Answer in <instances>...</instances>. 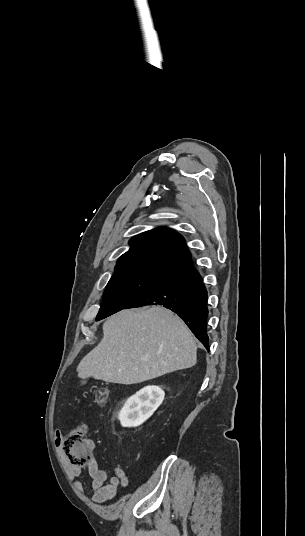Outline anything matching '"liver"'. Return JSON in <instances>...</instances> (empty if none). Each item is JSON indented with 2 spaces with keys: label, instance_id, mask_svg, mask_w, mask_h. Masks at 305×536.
<instances>
[{
  "label": "liver",
  "instance_id": "6515ba94",
  "mask_svg": "<svg viewBox=\"0 0 305 536\" xmlns=\"http://www.w3.org/2000/svg\"><path fill=\"white\" fill-rule=\"evenodd\" d=\"M103 340L77 366L78 378L140 384L195 366L196 344L171 310H122L103 324Z\"/></svg>",
  "mask_w": 305,
  "mask_h": 536
}]
</instances>
